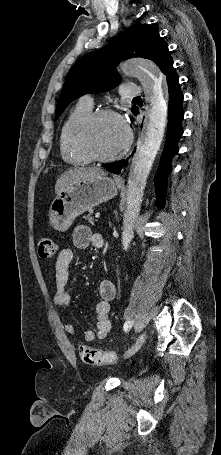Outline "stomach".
Here are the masks:
<instances>
[{"label": "stomach", "instance_id": "1", "mask_svg": "<svg viewBox=\"0 0 221 455\" xmlns=\"http://www.w3.org/2000/svg\"><path fill=\"white\" fill-rule=\"evenodd\" d=\"M114 179L100 175L67 186L51 203L49 221L60 232L67 231L74 219L117 195Z\"/></svg>", "mask_w": 221, "mask_h": 455}]
</instances>
